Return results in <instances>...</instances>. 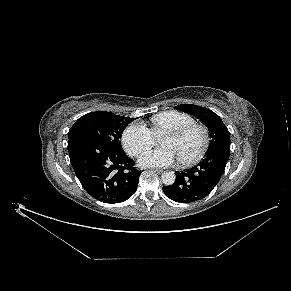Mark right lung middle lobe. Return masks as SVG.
Instances as JSON below:
<instances>
[{
    "mask_svg": "<svg viewBox=\"0 0 291 291\" xmlns=\"http://www.w3.org/2000/svg\"><path fill=\"white\" fill-rule=\"evenodd\" d=\"M134 119L104 111L91 112L83 115L74 123L68 133L69 139L85 135L123 152L120 138L124 129Z\"/></svg>",
    "mask_w": 291,
    "mask_h": 291,
    "instance_id": "right-lung-middle-lobe-1",
    "label": "right lung middle lobe"
}]
</instances>
